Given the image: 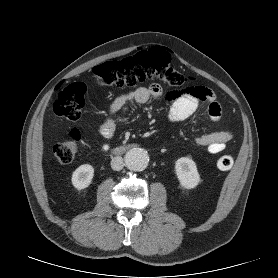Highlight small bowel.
<instances>
[{
    "label": "small bowel",
    "mask_w": 278,
    "mask_h": 278,
    "mask_svg": "<svg viewBox=\"0 0 278 278\" xmlns=\"http://www.w3.org/2000/svg\"><path fill=\"white\" fill-rule=\"evenodd\" d=\"M198 93L182 91L179 93L167 94L168 99H172L169 118L173 123H180L188 119L197 110L200 101L208 102V115L213 121L222 119V107L216 100L215 94L204 86H196ZM163 95L162 87L153 83L148 87H138L130 92L118 96L109 108L108 117L100 128V135L103 139L102 148H108V141L115 132L114 115L124 116L131 103L145 104L152 97ZM232 139V133L229 130H221L209 134H204L195 138L198 146L205 147L212 154L223 151L226 144Z\"/></svg>",
    "instance_id": "small-bowel-1"
}]
</instances>
